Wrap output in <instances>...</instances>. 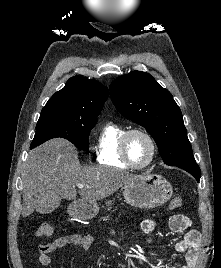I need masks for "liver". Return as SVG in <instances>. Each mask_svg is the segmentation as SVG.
Wrapping results in <instances>:
<instances>
[{
  "label": "liver",
  "instance_id": "liver-1",
  "mask_svg": "<svg viewBox=\"0 0 221 268\" xmlns=\"http://www.w3.org/2000/svg\"><path fill=\"white\" fill-rule=\"evenodd\" d=\"M134 176L118 169L82 167L75 147L64 139H52L30 151L24 172L22 216L35 210L45 214L61 199L75 200L77 184L83 201L101 200L112 195Z\"/></svg>",
  "mask_w": 221,
  "mask_h": 268
}]
</instances>
